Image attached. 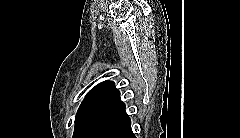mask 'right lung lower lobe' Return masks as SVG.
Masks as SVG:
<instances>
[{"label":"right lung lower lobe","instance_id":"right-lung-lower-lobe-1","mask_svg":"<svg viewBox=\"0 0 240 138\" xmlns=\"http://www.w3.org/2000/svg\"><path fill=\"white\" fill-rule=\"evenodd\" d=\"M87 138H135L125 108L108 116L88 134Z\"/></svg>","mask_w":240,"mask_h":138}]
</instances>
